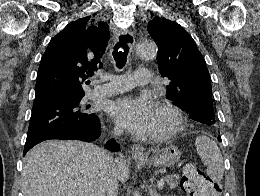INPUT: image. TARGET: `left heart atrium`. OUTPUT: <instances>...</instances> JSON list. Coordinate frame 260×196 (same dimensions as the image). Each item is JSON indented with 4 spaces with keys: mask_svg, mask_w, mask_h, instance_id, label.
<instances>
[{
    "mask_svg": "<svg viewBox=\"0 0 260 196\" xmlns=\"http://www.w3.org/2000/svg\"><path fill=\"white\" fill-rule=\"evenodd\" d=\"M111 115L119 126L135 135H144L153 124L154 104L146 97L123 96L112 104ZM106 191L112 190H98Z\"/></svg>",
    "mask_w": 260,
    "mask_h": 196,
    "instance_id": "1",
    "label": "left heart atrium"
}]
</instances>
